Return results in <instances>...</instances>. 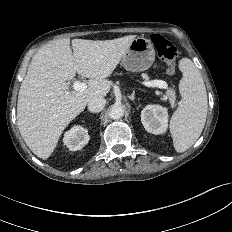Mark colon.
<instances>
[{
  "instance_id": "obj_1",
  "label": "colon",
  "mask_w": 232,
  "mask_h": 232,
  "mask_svg": "<svg viewBox=\"0 0 232 232\" xmlns=\"http://www.w3.org/2000/svg\"><path fill=\"white\" fill-rule=\"evenodd\" d=\"M151 41L155 46L159 57L167 63L169 74H174L175 63L178 56L177 47L161 34H154L151 37Z\"/></svg>"
}]
</instances>
